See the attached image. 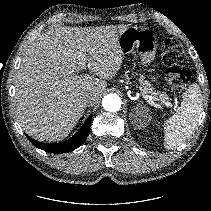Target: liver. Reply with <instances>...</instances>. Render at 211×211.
<instances>
[{
  "label": "liver",
  "instance_id": "6515ba94",
  "mask_svg": "<svg viewBox=\"0 0 211 211\" xmlns=\"http://www.w3.org/2000/svg\"><path fill=\"white\" fill-rule=\"evenodd\" d=\"M126 27H58L36 39L15 77V114L29 136L58 142L70 134L87 106L81 97L91 94L95 104L120 70L118 38ZM79 54L93 75L78 74Z\"/></svg>",
  "mask_w": 211,
  "mask_h": 211
}]
</instances>
